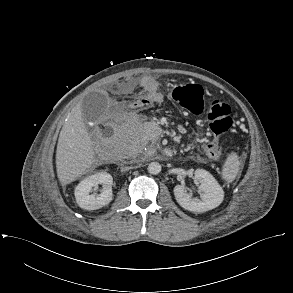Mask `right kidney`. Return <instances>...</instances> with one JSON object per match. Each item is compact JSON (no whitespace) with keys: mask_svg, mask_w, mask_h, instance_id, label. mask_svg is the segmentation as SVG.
I'll use <instances>...</instances> for the list:
<instances>
[{"mask_svg":"<svg viewBox=\"0 0 293 293\" xmlns=\"http://www.w3.org/2000/svg\"><path fill=\"white\" fill-rule=\"evenodd\" d=\"M112 183V176L104 171L86 177L75 188L74 194L78 206L85 210H96L109 204L113 198ZM98 184H103L101 194L97 196L90 194L93 187Z\"/></svg>","mask_w":293,"mask_h":293,"instance_id":"obj_1","label":"right kidney"}]
</instances>
